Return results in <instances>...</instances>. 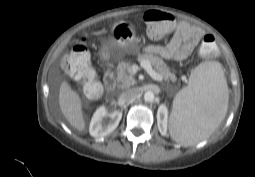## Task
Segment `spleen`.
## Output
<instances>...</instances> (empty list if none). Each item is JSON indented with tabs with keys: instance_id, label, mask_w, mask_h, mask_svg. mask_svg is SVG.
<instances>
[{
	"instance_id": "3e777b00",
	"label": "spleen",
	"mask_w": 255,
	"mask_h": 177,
	"mask_svg": "<svg viewBox=\"0 0 255 177\" xmlns=\"http://www.w3.org/2000/svg\"><path fill=\"white\" fill-rule=\"evenodd\" d=\"M228 101V85L220 63L199 64L188 86L175 96L169 119L172 138L183 146L206 139L224 120Z\"/></svg>"
}]
</instances>
